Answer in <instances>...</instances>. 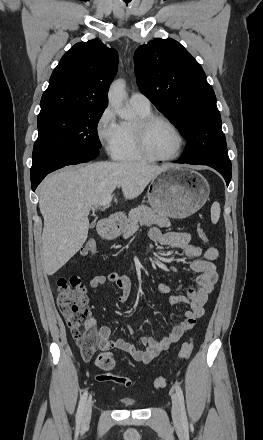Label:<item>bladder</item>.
<instances>
[{
	"label": "bladder",
	"instance_id": "obj_1",
	"mask_svg": "<svg viewBox=\"0 0 263 440\" xmlns=\"http://www.w3.org/2000/svg\"><path fill=\"white\" fill-rule=\"evenodd\" d=\"M121 403H122L124 406H127V407H137V406H138L137 401H135V400H130V399H124V400L121 401Z\"/></svg>",
	"mask_w": 263,
	"mask_h": 440
}]
</instances>
